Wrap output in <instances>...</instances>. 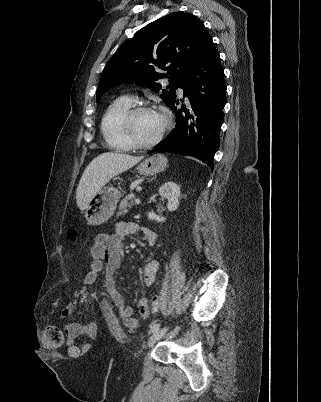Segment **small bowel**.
<instances>
[{"mask_svg":"<svg viewBox=\"0 0 321 402\" xmlns=\"http://www.w3.org/2000/svg\"><path fill=\"white\" fill-rule=\"evenodd\" d=\"M136 234H141L148 245L152 246L156 244L157 234L153 230L140 226L133 221H120L116 224L114 232L99 234L90 247L89 255L91 262L89 270L83 278L84 284L90 285L95 282L97 275L101 271L104 272L105 292L113 305L118 309L120 317L128 328H136L137 320L133 317V309L125 304L118 291L114 276L124 256V240L128 236ZM158 270V260L153 259L146 263L143 268V278L147 285L154 283ZM140 309H145L147 312L143 314ZM139 310L143 317L149 316L146 299L143 298L139 301ZM73 311V306L67 304L61 309L60 315L62 318L67 319ZM98 327V321L88 322L87 326L77 322H68L65 324L66 344L72 358H83V350H90V341L79 340L86 335H97L99 332Z\"/></svg>","mask_w":321,"mask_h":402,"instance_id":"small-bowel-1","label":"small bowel"}]
</instances>
